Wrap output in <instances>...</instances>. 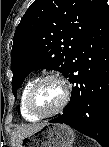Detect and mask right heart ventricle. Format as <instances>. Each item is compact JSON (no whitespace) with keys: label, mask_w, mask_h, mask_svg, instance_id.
Returning <instances> with one entry per match:
<instances>
[{"label":"right heart ventricle","mask_w":109,"mask_h":147,"mask_svg":"<svg viewBox=\"0 0 109 147\" xmlns=\"http://www.w3.org/2000/svg\"><path fill=\"white\" fill-rule=\"evenodd\" d=\"M35 82V80H29L23 90H22V93H21V97H20V112H21V115L23 116V118L27 121H30V122H35L38 120L37 117L31 115L27 109H26V106H25V98H26V95L29 91V89L31 88V86L33 85V83Z\"/></svg>","instance_id":"e07e8e85"}]
</instances>
